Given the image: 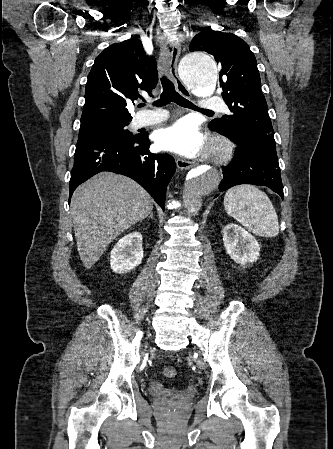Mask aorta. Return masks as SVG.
Masks as SVG:
<instances>
[{
  "label": "aorta",
  "mask_w": 333,
  "mask_h": 449,
  "mask_svg": "<svg viewBox=\"0 0 333 449\" xmlns=\"http://www.w3.org/2000/svg\"><path fill=\"white\" fill-rule=\"evenodd\" d=\"M179 73L184 85L190 90L210 95L218 80L214 59L206 52H192L182 58ZM221 181L220 171L212 166L192 169L183 181L182 195L186 214L196 215L202 206V198L217 190Z\"/></svg>",
  "instance_id": "obj_1"
}]
</instances>
